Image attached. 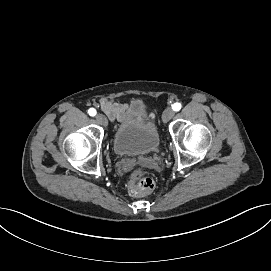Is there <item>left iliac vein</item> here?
<instances>
[{
    "label": "left iliac vein",
    "instance_id": "left-iliac-vein-1",
    "mask_svg": "<svg viewBox=\"0 0 271 271\" xmlns=\"http://www.w3.org/2000/svg\"><path fill=\"white\" fill-rule=\"evenodd\" d=\"M175 112L172 108L168 107L164 110L163 115H162V120L163 122L169 121L173 116Z\"/></svg>",
    "mask_w": 271,
    "mask_h": 271
}]
</instances>
